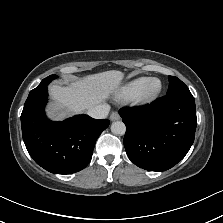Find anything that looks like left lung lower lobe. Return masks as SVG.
<instances>
[{
	"label": "left lung lower lobe",
	"mask_w": 223,
	"mask_h": 223,
	"mask_svg": "<svg viewBox=\"0 0 223 223\" xmlns=\"http://www.w3.org/2000/svg\"><path fill=\"white\" fill-rule=\"evenodd\" d=\"M119 114L126 125V153L145 170L170 169L194 142L197 118L193 96L166 95L151 104L122 108Z\"/></svg>",
	"instance_id": "0a47b994"
}]
</instances>
